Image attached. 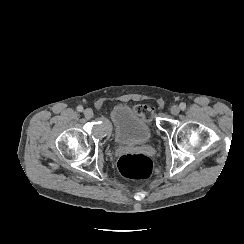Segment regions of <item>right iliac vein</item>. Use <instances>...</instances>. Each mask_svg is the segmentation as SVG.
<instances>
[{
	"label": "right iliac vein",
	"mask_w": 244,
	"mask_h": 244,
	"mask_svg": "<svg viewBox=\"0 0 244 244\" xmlns=\"http://www.w3.org/2000/svg\"><path fill=\"white\" fill-rule=\"evenodd\" d=\"M93 111H92V109H90V108H87V109H85L84 110V116L87 118V119H90V118H92L93 117Z\"/></svg>",
	"instance_id": "obj_1"
}]
</instances>
